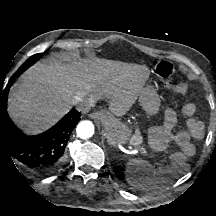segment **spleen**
<instances>
[{
  "label": "spleen",
  "instance_id": "obj_1",
  "mask_svg": "<svg viewBox=\"0 0 216 216\" xmlns=\"http://www.w3.org/2000/svg\"><path fill=\"white\" fill-rule=\"evenodd\" d=\"M172 171L173 166L156 170L145 160L130 158L125 163L124 174L126 181L131 186L149 190L163 182L162 174Z\"/></svg>",
  "mask_w": 216,
  "mask_h": 216
}]
</instances>
